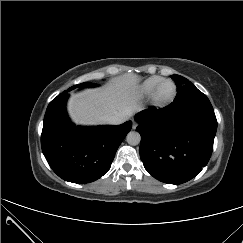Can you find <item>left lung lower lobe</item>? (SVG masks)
I'll list each match as a JSON object with an SVG mask.
<instances>
[{"instance_id":"left-lung-lower-lobe-1","label":"left lung lower lobe","mask_w":243,"mask_h":243,"mask_svg":"<svg viewBox=\"0 0 243 243\" xmlns=\"http://www.w3.org/2000/svg\"><path fill=\"white\" fill-rule=\"evenodd\" d=\"M193 97L184 86L169 106L147 109L135 116L144 167L164 183L182 184L191 180L211 157L216 116L187 110Z\"/></svg>"}]
</instances>
